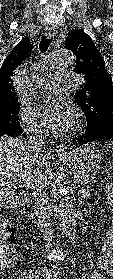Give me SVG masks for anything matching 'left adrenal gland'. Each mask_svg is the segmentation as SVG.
<instances>
[{
    "mask_svg": "<svg viewBox=\"0 0 113 279\" xmlns=\"http://www.w3.org/2000/svg\"><path fill=\"white\" fill-rule=\"evenodd\" d=\"M79 192H80L81 194H84V193H85V192H84V189L79 190Z\"/></svg>",
    "mask_w": 113,
    "mask_h": 279,
    "instance_id": "left-adrenal-gland-1",
    "label": "left adrenal gland"
}]
</instances>
